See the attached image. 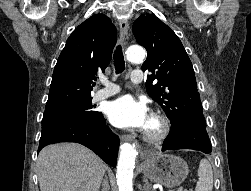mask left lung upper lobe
I'll return each mask as SVG.
<instances>
[{
	"label": "left lung upper lobe",
	"mask_w": 251,
	"mask_h": 191,
	"mask_svg": "<svg viewBox=\"0 0 251 191\" xmlns=\"http://www.w3.org/2000/svg\"><path fill=\"white\" fill-rule=\"evenodd\" d=\"M138 44L147 50L143 71L146 91L171 121V130L189 124L206 126L192 63L177 35L155 15H141L133 24Z\"/></svg>",
	"instance_id": "obj_1"
}]
</instances>
